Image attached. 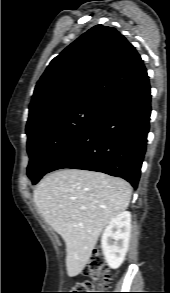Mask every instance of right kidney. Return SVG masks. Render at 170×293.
<instances>
[{"label": "right kidney", "mask_w": 170, "mask_h": 293, "mask_svg": "<svg viewBox=\"0 0 170 293\" xmlns=\"http://www.w3.org/2000/svg\"><path fill=\"white\" fill-rule=\"evenodd\" d=\"M131 233V213L123 211L110 220L101 237V247L108 266L117 269L125 259Z\"/></svg>", "instance_id": "obj_1"}]
</instances>
